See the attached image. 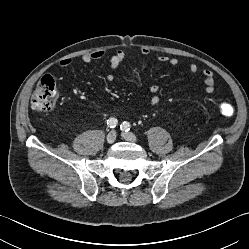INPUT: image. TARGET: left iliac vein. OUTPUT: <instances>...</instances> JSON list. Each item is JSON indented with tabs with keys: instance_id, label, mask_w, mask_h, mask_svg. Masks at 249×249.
<instances>
[{
	"instance_id": "left-iliac-vein-1",
	"label": "left iliac vein",
	"mask_w": 249,
	"mask_h": 249,
	"mask_svg": "<svg viewBox=\"0 0 249 249\" xmlns=\"http://www.w3.org/2000/svg\"><path fill=\"white\" fill-rule=\"evenodd\" d=\"M122 137L130 142H137V137L135 134L131 133V132H123L122 133Z\"/></svg>"
}]
</instances>
